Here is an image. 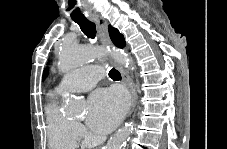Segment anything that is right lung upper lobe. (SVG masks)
<instances>
[{"mask_svg":"<svg viewBox=\"0 0 227 149\" xmlns=\"http://www.w3.org/2000/svg\"><path fill=\"white\" fill-rule=\"evenodd\" d=\"M108 30L110 38L113 41V43L117 47L123 48L125 46L124 36L120 34L119 31L116 28L112 27L111 25H109Z\"/></svg>","mask_w":227,"mask_h":149,"instance_id":"1","label":"right lung upper lobe"}]
</instances>
